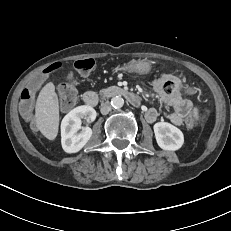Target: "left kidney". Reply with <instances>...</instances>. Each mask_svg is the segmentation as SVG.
Returning a JSON list of instances; mask_svg holds the SVG:
<instances>
[{"label":"left kidney","instance_id":"1","mask_svg":"<svg viewBox=\"0 0 231 231\" xmlns=\"http://www.w3.org/2000/svg\"><path fill=\"white\" fill-rule=\"evenodd\" d=\"M158 146L167 151H176L184 143V135L180 129L167 122H158L153 127Z\"/></svg>","mask_w":231,"mask_h":231}]
</instances>
